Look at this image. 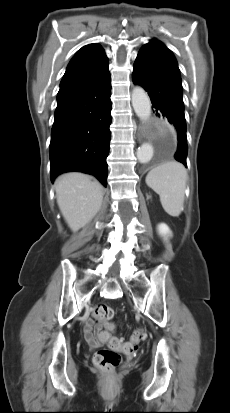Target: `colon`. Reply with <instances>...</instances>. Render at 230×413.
Returning a JSON list of instances; mask_svg holds the SVG:
<instances>
[{
	"label": "colon",
	"mask_w": 230,
	"mask_h": 413,
	"mask_svg": "<svg viewBox=\"0 0 230 413\" xmlns=\"http://www.w3.org/2000/svg\"><path fill=\"white\" fill-rule=\"evenodd\" d=\"M114 316V308L110 305L100 303L96 306L94 317L98 323H107ZM145 338V332L142 329H136L130 336L129 341L122 345L120 340L111 335L109 338V347L99 349L94 355L95 364L107 373H112L121 363V355L117 349H123L127 354L137 351L139 344Z\"/></svg>",
	"instance_id": "obj_1"
}]
</instances>
